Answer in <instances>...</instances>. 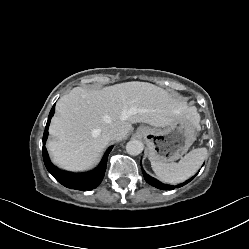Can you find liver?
Returning a JSON list of instances; mask_svg holds the SVG:
<instances>
[{
  "mask_svg": "<svg viewBox=\"0 0 249 249\" xmlns=\"http://www.w3.org/2000/svg\"><path fill=\"white\" fill-rule=\"evenodd\" d=\"M196 113L185 101L173 98L166 90L147 82H125L101 90L73 88L56 104L47 143L52 161L69 171L92 167L110 140L104 131L115 129L120 141L134 123L166 127L177 117ZM196 126L200 116L196 114Z\"/></svg>",
  "mask_w": 249,
  "mask_h": 249,
  "instance_id": "liver-1",
  "label": "liver"
}]
</instances>
